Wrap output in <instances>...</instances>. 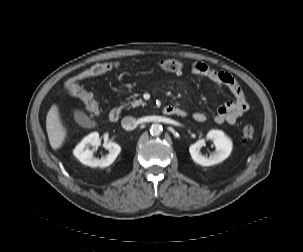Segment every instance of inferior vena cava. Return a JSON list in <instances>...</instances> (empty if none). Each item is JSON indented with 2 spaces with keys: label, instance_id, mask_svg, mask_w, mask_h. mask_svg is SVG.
<instances>
[{
  "label": "inferior vena cava",
  "instance_id": "1",
  "mask_svg": "<svg viewBox=\"0 0 303 252\" xmlns=\"http://www.w3.org/2000/svg\"><path fill=\"white\" fill-rule=\"evenodd\" d=\"M121 125L125 130H133L137 127V120L132 116H126L122 119Z\"/></svg>",
  "mask_w": 303,
  "mask_h": 252
}]
</instances>
